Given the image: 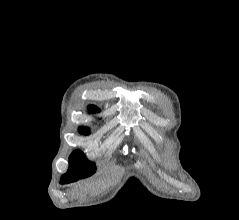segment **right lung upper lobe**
<instances>
[{"mask_svg": "<svg viewBox=\"0 0 239 220\" xmlns=\"http://www.w3.org/2000/svg\"><path fill=\"white\" fill-rule=\"evenodd\" d=\"M89 110L91 112H99V109L97 107H95V106H89ZM81 129L88 130L87 128H81Z\"/></svg>", "mask_w": 239, "mask_h": 220, "instance_id": "cb5924a9", "label": "right lung upper lobe"}]
</instances>
